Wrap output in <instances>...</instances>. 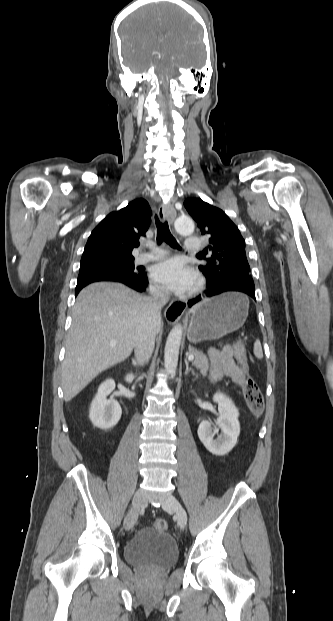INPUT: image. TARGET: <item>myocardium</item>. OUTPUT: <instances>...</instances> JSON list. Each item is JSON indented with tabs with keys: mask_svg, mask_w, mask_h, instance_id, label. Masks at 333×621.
<instances>
[{
	"mask_svg": "<svg viewBox=\"0 0 333 621\" xmlns=\"http://www.w3.org/2000/svg\"><path fill=\"white\" fill-rule=\"evenodd\" d=\"M196 288H197V290H200L202 288V282L201 281L198 282V285H197Z\"/></svg>",
	"mask_w": 333,
	"mask_h": 621,
	"instance_id": "myocardium-1",
	"label": "myocardium"
}]
</instances>
